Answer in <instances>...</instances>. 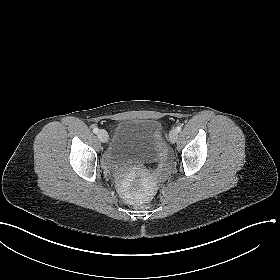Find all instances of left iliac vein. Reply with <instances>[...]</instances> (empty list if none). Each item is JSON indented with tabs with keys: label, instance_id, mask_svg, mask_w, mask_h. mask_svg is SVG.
Returning a JSON list of instances; mask_svg holds the SVG:
<instances>
[{
	"label": "left iliac vein",
	"instance_id": "4c4485c4",
	"mask_svg": "<svg viewBox=\"0 0 280 280\" xmlns=\"http://www.w3.org/2000/svg\"><path fill=\"white\" fill-rule=\"evenodd\" d=\"M177 139H178L177 130L176 129L171 130L170 133H169V141L171 143H175L177 141Z\"/></svg>",
	"mask_w": 280,
	"mask_h": 280
}]
</instances>
